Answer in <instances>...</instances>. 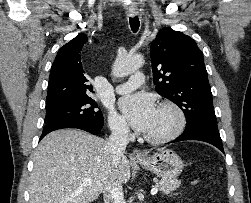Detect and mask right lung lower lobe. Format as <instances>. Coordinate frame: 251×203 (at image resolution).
Returning <instances> with one entry per match:
<instances>
[{
	"mask_svg": "<svg viewBox=\"0 0 251 203\" xmlns=\"http://www.w3.org/2000/svg\"><path fill=\"white\" fill-rule=\"evenodd\" d=\"M64 128H77V129L85 130L92 134H98L102 129L101 126L95 125L84 119H77V118L62 119V120L45 124L43 133L40 139H42L45 135H47L48 133L54 130L64 129Z\"/></svg>",
	"mask_w": 251,
	"mask_h": 203,
	"instance_id": "obj_1",
	"label": "right lung lower lobe"
}]
</instances>
